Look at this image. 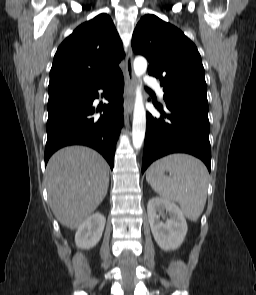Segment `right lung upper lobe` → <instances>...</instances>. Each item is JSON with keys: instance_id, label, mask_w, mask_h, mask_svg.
Masks as SVG:
<instances>
[{"instance_id": "obj_1", "label": "right lung upper lobe", "mask_w": 256, "mask_h": 295, "mask_svg": "<svg viewBox=\"0 0 256 295\" xmlns=\"http://www.w3.org/2000/svg\"><path fill=\"white\" fill-rule=\"evenodd\" d=\"M121 39L107 14L78 26L58 47L50 71L49 95L86 87L121 72Z\"/></svg>"}]
</instances>
